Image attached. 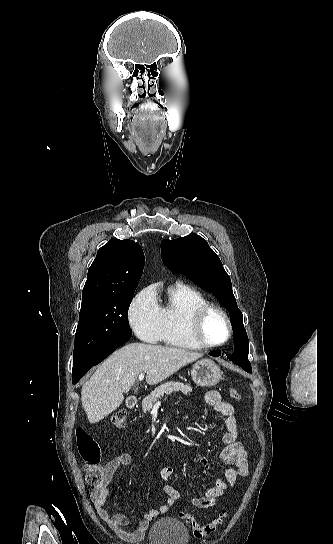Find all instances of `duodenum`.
Wrapping results in <instances>:
<instances>
[{"instance_id":"410a0bca","label":"duodenum","mask_w":333,"mask_h":544,"mask_svg":"<svg viewBox=\"0 0 333 544\" xmlns=\"http://www.w3.org/2000/svg\"><path fill=\"white\" fill-rule=\"evenodd\" d=\"M138 400L136 397H129L126 401V405L128 408L133 409L137 406Z\"/></svg>"}]
</instances>
